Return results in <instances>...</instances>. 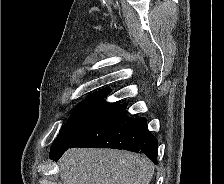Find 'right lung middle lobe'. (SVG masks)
<instances>
[{
	"label": "right lung middle lobe",
	"mask_w": 224,
	"mask_h": 184,
	"mask_svg": "<svg viewBox=\"0 0 224 184\" xmlns=\"http://www.w3.org/2000/svg\"><path fill=\"white\" fill-rule=\"evenodd\" d=\"M110 91L109 88L102 89L79 103L74 113L63 125L51 148L70 143L112 113L119 103H108L103 100Z\"/></svg>",
	"instance_id": "right-lung-middle-lobe-1"
}]
</instances>
